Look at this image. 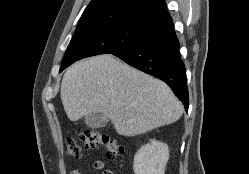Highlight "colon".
Listing matches in <instances>:
<instances>
[{"instance_id": "colon-1", "label": "colon", "mask_w": 249, "mask_h": 174, "mask_svg": "<svg viewBox=\"0 0 249 174\" xmlns=\"http://www.w3.org/2000/svg\"><path fill=\"white\" fill-rule=\"evenodd\" d=\"M103 147L108 158L114 159L123 153V146L111 135L98 129H86L79 133L77 138H68L66 155L79 158L84 150H94Z\"/></svg>"}]
</instances>
